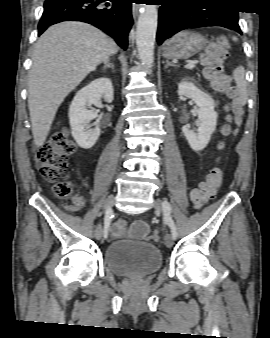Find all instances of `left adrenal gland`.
Instances as JSON below:
<instances>
[{
	"label": "left adrenal gland",
	"mask_w": 270,
	"mask_h": 338,
	"mask_svg": "<svg viewBox=\"0 0 270 338\" xmlns=\"http://www.w3.org/2000/svg\"><path fill=\"white\" fill-rule=\"evenodd\" d=\"M169 66H176L175 64H172L169 61H166L165 69H167Z\"/></svg>",
	"instance_id": "obj_1"
}]
</instances>
